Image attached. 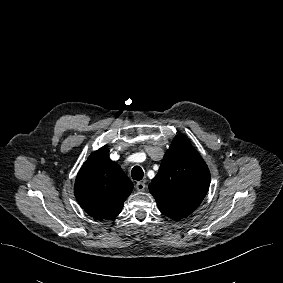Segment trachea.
<instances>
[{"label":"trachea","mask_w":283,"mask_h":283,"mask_svg":"<svg viewBox=\"0 0 283 283\" xmlns=\"http://www.w3.org/2000/svg\"><path fill=\"white\" fill-rule=\"evenodd\" d=\"M131 176L134 180H141L144 176V172L141 167L135 166L131 171Z\"/></svg>","instance_id":"obj_1"}]
</instances>
